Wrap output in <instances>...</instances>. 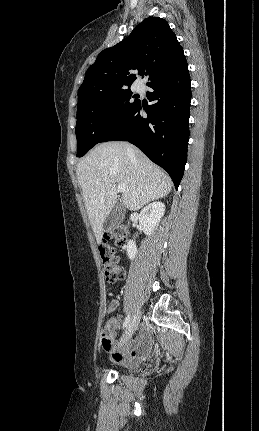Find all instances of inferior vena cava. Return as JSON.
Returning <instances> with one entry per match:
<instances>
[{
	"label": "inferior vena cava",
	"instance_id": "1",
	"mask_svg": "<svg viewBox=\"0 0 259 431\" xmlns=\"http://www.w3.org/2000/svg\"><path fill=\"white\" fill-rule=\"evenodd\" d=\"M128 151H131V149H130V148H128Z\"/></svg>",
	"mask_w": 259,
	"mask_h": 431
}]
</instances>
